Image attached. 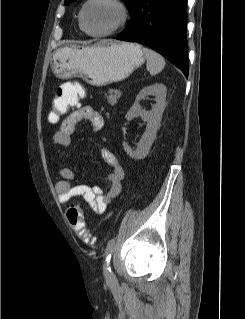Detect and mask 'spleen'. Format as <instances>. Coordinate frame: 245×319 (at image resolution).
<instances>
[{"mask_svg":"<svg viewBox=\"0 0 245 319\" xmlns=\"http://www.w3.org/2000/svg\"><path fill=\"white\" fill-rule=\"evenodd\" d=\"M144 55L147 59L146 68L151 75H156L165 67L164 58L149 48H143Z\"/></svg>","mask_w":245,"mask_h":319,"instance_id":"obj_1","label":"spleen"}]
</instances>
